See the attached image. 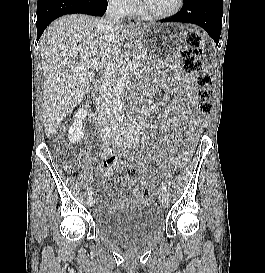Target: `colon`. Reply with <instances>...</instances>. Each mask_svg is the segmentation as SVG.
Here are the masks:
<instances>
[{
    "label": "colon",
    "instance_id": "1",
    "mask_svg": "<svg viewBox=\"0 0 265 273\" xmlns=\"http://www.w3.org/2000/svg\"><path fill=\"white\" fill-rule=\"evenodd\" d=\"M203 48V39L199 32L191 31L187 34L186 45L181 50V62L184 70L195 76L196 85L198 87L197 97L199 100L198 110L202 114H209L212 110L211 104V77L204 71L203 63L200 59V55ZM60 137V132H55L53 134V139L57 140ZM78 157L77 154L72 153L66 159V165L74 169L77 166ZM126 174L128 176H134L136 174V169L134 167H127ZM144 192L153 196L157 195V190L146 185L144 187Z\"/></svg>",
    "mask_w": 265,
    "mask_h": 273
}]
</instances>
